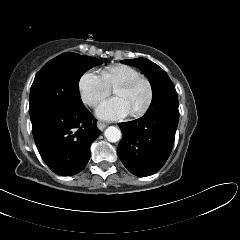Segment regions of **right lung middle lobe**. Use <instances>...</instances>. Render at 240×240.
Here are the masks:
<instances>
[{"label":"right lung middle lobe","mask_w":240,"mask_h":240,"mask_svg":"<svg viewBox=\"0 0 240 240\" xmlns=\"http://www.w3.org/2000/svg\"><path fill=\"white\" fill-rule=\"evenodd\" d=\"M100 64L98 59L77 53H64L46 63L31 86V120L50 111L83 106L79 80L86 71Z\"/></svg>","instance_id":"right-lung-middle-lobe-1"}]
</instances>
